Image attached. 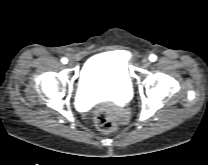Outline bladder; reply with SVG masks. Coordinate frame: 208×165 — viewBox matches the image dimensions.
<instances>
[{"label": "bladder", "instance_id": "obj_1", "mask_svg": "<svg viewBox=\"0 0 208 165\" xmlns=\"http://www.w3.org/2000/svg\"><path fill=\"white\" fill-rule=\"evenodd\" d=\"M132 80L122 52L108 51L96 54L83 65L78 82L79 99L127 102L132 95Z\"/></svg>", "mask_w": 208, "mask_h": 165}]
</instances>
